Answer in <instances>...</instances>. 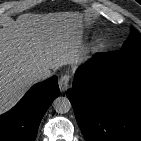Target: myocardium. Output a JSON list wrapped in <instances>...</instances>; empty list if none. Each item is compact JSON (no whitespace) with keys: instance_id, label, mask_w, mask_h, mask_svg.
Segmentation results:
<instances>
[{"instance_id":"f54148a6","label":"myocardium","mask_w":141,"mask_h":141,"mask_svg":"<svg viewBox=\"0 0 141 141\" xmlns=\"http://www.w3.org/2000/svg\"><path fill=\"white\" fill-rule=\"evenodd\" d=\"M103 46H104V41L102 39H97L93 44L94 49H100Z\"/></svg>"}]
</instances>
